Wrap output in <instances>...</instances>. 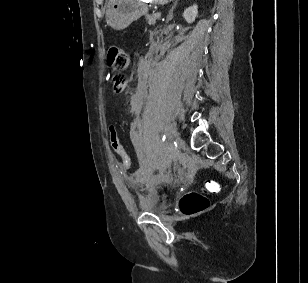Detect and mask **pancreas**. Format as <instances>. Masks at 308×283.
I'll use <instances>...</instances> for the list:
<instances>
[{
    "label": "pancreas",
    "mask_w": 308,
    "mask_h": 283,
    "mask_svg": "<svg viewBox=\"0 0 308 283\" xmlns=\"http://www.w3.org/2000/svg\"><path fill=\"white\" fill-rule=\"evenodd\" d=\"M145 19L149 25H155L159 18L157 17L156 14H152V15H146Z\"/></svg>",
    "instance_id": "cf45deb5"
}]
</instances>
